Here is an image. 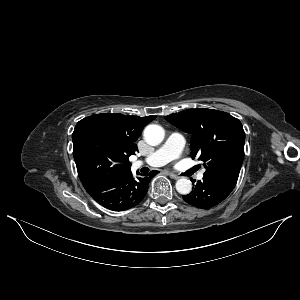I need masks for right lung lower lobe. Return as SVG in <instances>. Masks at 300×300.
I'll list each match as a JSON object with an SVG mask.
<instances>
[{"instance_id": "98d812e1", "label": "right lung lower lobe", "mask_w": 300, "mask_h": 300, "mask_svg": "<svg viewBox=\"0 0 300 300\" xmlns=\"http://www.w3.org/2000/svg\"><path fill=\"white\" fill-rule=\"evenodd\" d=\"M158 171L147 175L138 173L134 177L131 171L119 177L97 179L83 183L85 190L101 206L112 211H123L139 204L146 196L149 181Z\"/></svg>"}]
</instances>
